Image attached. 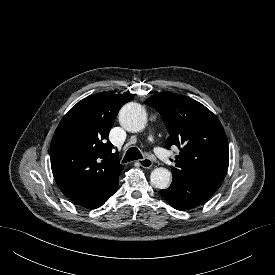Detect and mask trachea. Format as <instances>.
<instances>
[{
	"label": "trachea",
	"instance_id": "obj_1",
	"mask_svg": "<svg viewBox=\"0 0 275 275\" xmlns=\"http://www.w3.org/2000/svg\"><path fill=\"white\" fill-rule=\"evenodd\" d=\"M142 158L143 156L139 151V149H137L136 147H132L127 150L122 162L126 163V162H130V161L142 159Z\"/></svg>",
	"mask_w": 275,
	"mask_h": 275
}]
</instances>
